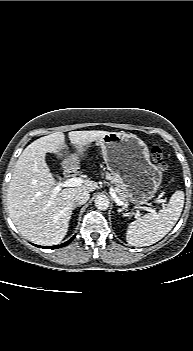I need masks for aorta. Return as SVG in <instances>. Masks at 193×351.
<instances>
[{
    "label": "aorta",
    "instance_id": "aorta-1",
    "mask_svg": "<svg viewBox=\"0 0 193 351\" xmlns=\"http://www.w3.org/2000/svg\"><path fill=\"white\" fill-rule=\"evenodd\" d=\"M95 206L99 210H106L109 207V199L105 195H99L95 199Z\"/></svg>",
    "mask_w": 193,
    "mask_h": 351
}]
</instances>
